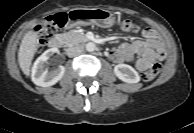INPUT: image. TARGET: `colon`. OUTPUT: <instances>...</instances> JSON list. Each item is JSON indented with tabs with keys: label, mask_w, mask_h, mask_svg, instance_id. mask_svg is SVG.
Returning <instances> with one entry per match:
<instances>
[{
	"label": "colon",
	"mask_w": 194,
	"mask_h": 133,
	"mask_svg": "<svg viewBox=\"0 0 194 133\" xmlns=\"http://www.w3.org/2000/svg\"><path fill=\"white\" fill-rule=\"evenodd\" d=\"M67 21V16L63 13L57 14L53 17L47 19V21L37 28V44L39 47L44 46L50 40V38L55 34V32L63 27ZM118 25L127 31H136L137 24L132 19H118ZM161 69L159 63H154L149 69L143 72L142 78L145 81H151L156 77Z\"/></svg>",
	"instance_id": "colon-1"
}]
</instances>
